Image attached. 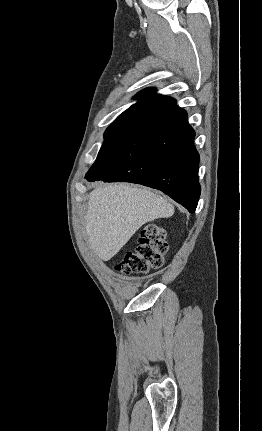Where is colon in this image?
I'll use <instances>...</instances> for the list:
<instances>
[{
  "label": "colon",
  "instance_id": "1",
  "mask_svg": "<svg viewBox=\"0 0 262 431\" xmlns=\"http://www.w3.org/2000/svg\"><path fill=\"white\" fill-rule=\"evenodd\" d=\"M167 241L162 227L148 224L136 237L135 247L127 251L115 268L125 275H142L163 265Z\"/></svg>",
  "mask_w": 262,
  "mask_h": 431
}]
</instances>
